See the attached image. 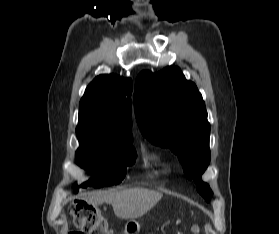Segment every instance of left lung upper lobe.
I'll return each mask as SVG.
<instances>
[{
  "label": "left lung upper lobe",
  "mask_w": 279,
  "mask_h": 234,
  "mask_svg": "<svg viewBox=\"0 0 279 234\" xmlns=\"http://www.w3.org/2000/svg\"><path fill=\"white\" fill-rule=\"evenodd\" d=\"M134 108L142 134L178 156L187 178L194 179L209 202L213 193L201 175L210 162V124L196 85L178 67L142 71L135 83Z\"/></svg>",
  "instance_id": "5c2ea615"
}]
</instances>
